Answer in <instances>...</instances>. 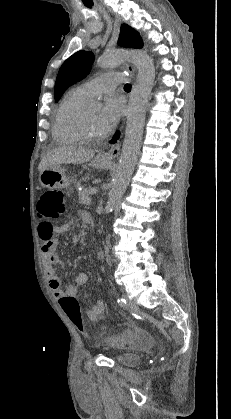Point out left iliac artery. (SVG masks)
I'll use <instances>...</instances> for the list:
<instances>
[{"instance_id":"left-iliac-artery-1","label":"left iliac artery","mask_w":231,"mask_h":419,"mask_svg":"<svg viewBox=\"0 0 231 419\" xmlns=\"http://www.w3.org/2000/svg\"><path fill=\"white\" fill-rule=\"evenodd\" d=\"M117 302H118V304H119L120 306H124V305L126 304V300H125L124 298H119V299L117 300Z\"/></svg>"}]
</instances>
